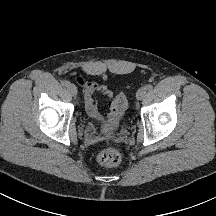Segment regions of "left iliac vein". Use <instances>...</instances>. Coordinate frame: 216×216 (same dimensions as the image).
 Returning <instances> with one entry per match:
<instances>
[{
    "label": "left iliac vein",
    "mask_w": 216,
    "mask_h": 216,
    "mask_svg": "<svg viewBox=\"0 0 216 216\" xmlns=\"http://www.w3.org/2000/svg\"><path fill=\"white\" fill-rule=\"evenodd\" d=\"M146 92H147L146 87L139 88L138 91H137V93H136V98L138 100H142L144 98Z\"/></svg>",
    "instance_id": "obj_1"
}]
</instances>
